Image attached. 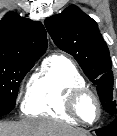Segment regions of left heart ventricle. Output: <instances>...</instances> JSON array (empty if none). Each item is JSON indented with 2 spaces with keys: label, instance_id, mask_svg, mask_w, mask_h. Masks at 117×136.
<instances>
[{
  "label": "left heart ventricle",
  "instance_id": "left-heart-ventricle-1",
  "mask_svg": "<svg viewBox=\"0 0 117 136\" xmlns=\"http://www.w3.org/2000/svg\"><path fill=\"white\" fill-rule=\"evenodd\" d=\"M79 111L81 116L87 120L92 121L95 119L97 114V109L94 101L90 97L84 98L79 106Z\"/></svg>",
  "mask_w": 117,
  "mask_h": 136
}]
</instances>
